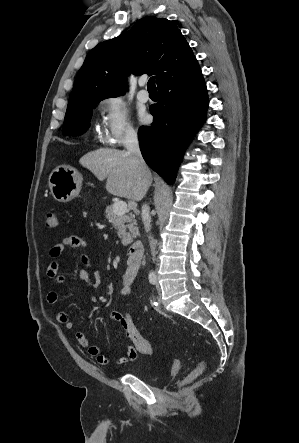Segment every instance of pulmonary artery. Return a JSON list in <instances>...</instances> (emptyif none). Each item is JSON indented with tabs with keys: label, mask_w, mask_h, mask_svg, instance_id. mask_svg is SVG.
Wrapping results in <instances>:
<instances>
[{
	"label": "pulmonary artery",
	"mask_w": 299,
	"mask_h": 443,
	"mask_svg": "<svg viewBox=\"0 0 299 443\" xmlns=\"http://www.w3.org/2000/svg\"><path fill=\"white\" fill-rule=\"evenodd\" d=\"M146 82H147V81H146L145 78L141 79V80L139 81V85H140V87H141V88H144V87L146 86ZM137 97H138V99H139L141 102H147V101L149 100V94H148V92H147L146 90H144V89H141V90L138 92Z\"/></svg>",
	"instance_id": "e3ab8cb5"
}]
</instances>
